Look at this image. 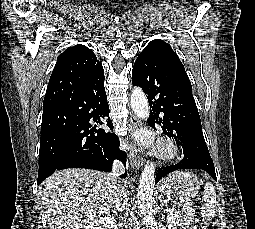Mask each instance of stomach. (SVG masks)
I'll return each instance as SVG.
<instances>
[{"label":"stomach","instance_id":"1","mask_svg":"<svg viewBox=\"0 0 255 229\" xmlns=\"http://www.w3.org/2000/svg\"><path fill=\"white\" fill-rule=\"evenodd\" d=\"M200 183L188 171H175L167 175L159 185L161 196L173 200L177 206L185 207L192 203L198 193Z\"/></svg>","mask_w":255,"mask_h":229}]
</instances>
